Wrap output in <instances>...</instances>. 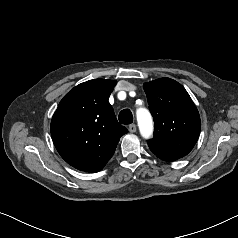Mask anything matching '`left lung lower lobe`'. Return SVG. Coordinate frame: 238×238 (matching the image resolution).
I'll return each instance as SVG.
<instances>
[{
	"label": "left lung lower lobe",
	"mask_w": 238,
	"mask_h": 238,
	"mask_svg": "<svg viewBox=\"0 0 238 238\" xmlns=\"http://www.w3.org/2000/svg\"><path fill=\"white\" fill-rule=\"evenodd\" d=\"M158 158L164 160V161H173L172 159L170 158H166V157H162V156H158Z\"/></svg>",
	"instance_id": "0a47b994"
}]
</instances>
